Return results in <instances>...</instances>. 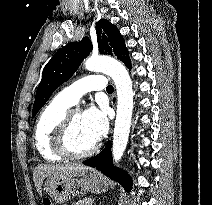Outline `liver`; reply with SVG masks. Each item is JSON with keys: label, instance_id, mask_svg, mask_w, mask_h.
Listing matches in <instances>:
<instances>
[{"label": "liver", "instance_id": "6515ba94", "mask_svg": "<svg viewBox=\"0 0 212 205\" xmlns=\"http://www.w3.org/2000/svg\"><path fill=\"white\" fill-rule=\"evenodd\" d=\"M90 168L83 165H39L35 168L33 173V179L35 187L38 193L42 194V183L44 178L53 176V177H62V176H82Z\"/></svg>", "mask_w": 212, "mask_h": 205}]
</instances>
